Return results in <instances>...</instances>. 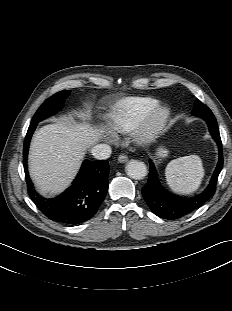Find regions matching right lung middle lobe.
<instances>
[{"mask_svg":"<svg viewBox=\"0 0 232 311\" xmlns=\"http://www.w3.org/2000/svg\"><path fill=\"white\" fill-rule=\"evenodd\" d=\"M69 94L70 90H63L48 98L36 111L31 124L38 123L58 112L63 107L64 101Z\"/></svg>","mask_w":232,"mask_h":311,"instance_id":"right-lung-middle-lobe-1","label":"right lung middle lobe"}]
</instances>
